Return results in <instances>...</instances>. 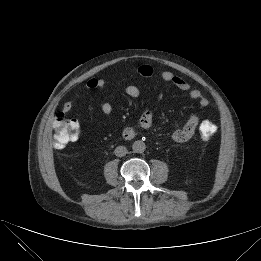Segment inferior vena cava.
I'll return each instance as SVG.
<instances>
[{
    "label": "inferior vena cava",
    "mask_w": 261,
    "mask_h": 261,
    "mask_svg": "<svg viewBox=\"0 0 261 261\" xmlns=\"http://www.w3.org/2000/svg\"><path fill=\"white\" fill-rule=\"evenodd\" d=\"M114 153L117 157H123L127 154V148L124 146H118L115 148Z\"/></svg>",
    "instance_id": "602c4592"
}]
</instances>
